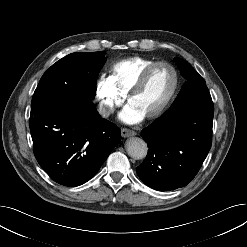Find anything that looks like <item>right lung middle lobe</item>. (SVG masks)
<instances>
[{"instance_id": "right-lung-middle-lobe-1", "label": "right lung middle lobe", "mask_w": 247, "mask_h": 247, "mask_svg": "<svg viewBox=\"0 0 247 247\" xmlns=\"http://www.w3.org/2000/svg\"><path fill=\"white\" fill-rule=\"evenodd\" d=\"M106 62L103 52H76L53 64L42 76L32 98L31 113L53 102L75 109H95L97 76Z\"/></svg>"}]
</instances>
